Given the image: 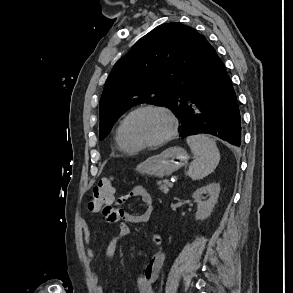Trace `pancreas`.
<instances>
[{"label":"pancreas","instance_id":"cf45deb5","mask_svg":"<svg viewBox=\"0 0 293 293\" xmlns=\"http://www.w3.org/2000/svg\"><path fill=\"white\" fill-rule=\"evenodd\" d=\"M158 187L157 190L167 194L169 191V181L168 180H161L157 183Z\"/></svg>","mask_w":293,"mask_h":293}]
</instances>
